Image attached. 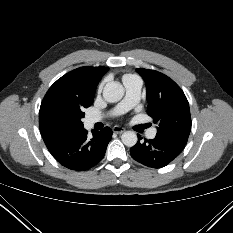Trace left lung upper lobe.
<instances>
[{
    "mask_svg": "<svg viewBox=\"0 0 233 233\" xmlns=\"http://www.w3.org/2000/svg\"><path fill=\"white\" fill-rule=\"evenodd\" d=\"M146 84L147 113L158 123L156 136L186 144L191 131L189 103L181 88L168 76L136 69Z\"/></svg>",
    "mask_w": 233,
    "mask_h": 233,
    "instance_id": "obj_1",
    "label": "left lung upper lobe"
}]
</instances>
